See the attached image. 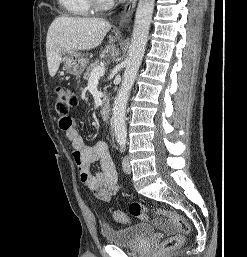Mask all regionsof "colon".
Segmentation results:
<instances>
[{
  "mask_svg": "<svg viewBox=\"0 0 247 257\" xmlns=\"http://www.w3.org/2000/svg\"><path fill=\"white\" fill-rule=\"evenodd\" d=\"M54 94L56 98L55 108L59 118L62 119L64 125H70L69 113L78 104L76 95L65 86H56ZM129 213L142 220L148 219L147 207L140 202H132L129 206ZM156 214L170 220L177 229L176 234L162 241L159 248L160 252L169 253L174 251L182 244L185 236L190 231V226L187 220L179 213L165 209H157ZM112 218L119 223L126 224L129 222V216L120 211H114L112 213Z\"/></svg>",
  "mask_w": 247,
  "mask_h": 257,
  "instance_id": "5ec220e1",
  "label": "colon"
}]
</instances>
